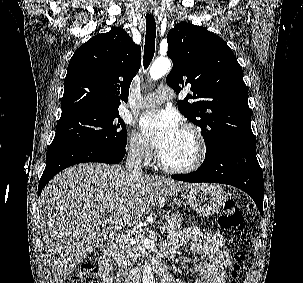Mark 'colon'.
Instances as JSON below:
<instances>
[{"label": "colon", "mask_w": 303, "mask_h": 283, "mask_svg": "<svg viewBox=\"0 0 303 283\" xmlns=\"http://www.w3.org/2000/svg\"><path fill=\"white\" fill-rule=\"evenodd\" d=\"M219 224L223 229L243 232L245 223L240 211L239 203L234 199H229L224 203L219 216ZM247 254L243 250H238L234 254V264L231 272L230 283H237L242 276L247 264ZM97 272L96 261L89 258L83 262L76 270L75 274L65 280L64 283H93Z\"/></svg>", "instance_id": "obj_1"}]
</instances>
